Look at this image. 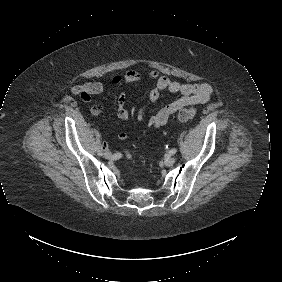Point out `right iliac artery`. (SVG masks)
Returning a JSON list of instances; mask_svg holds the SVG:
<instances>
[{"label":"right iliac artery","mask_w":282,"mask_h":282,"mask_svg":"<svg viewBox=\"0 0 282 282\" xmlns=\"http://www.w3.org/2000/svg\"><path fill=\"white\" fill-rule=\"evenodd\" d=\"M99 155H102L103 154V152L102 151H99V153H98Z\"/></svg>","instance_id":"1"}]
</instances>
